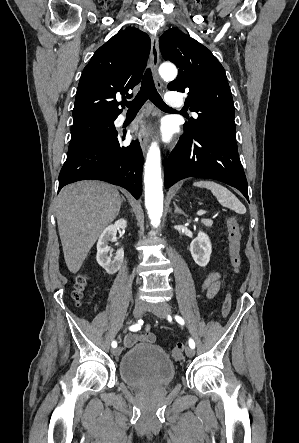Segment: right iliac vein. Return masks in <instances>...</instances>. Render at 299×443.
Segmentation results:
<instances>
[{
    "label": "right iliac vein",
    "mask_w": 299,
    "mask_h": 443,
    "mask_svg": "<svg viewBox=\"0 0 299 443\" xmlns=\"http://www.w3.org/2000/svg\"><path fill=\"white\" fill-rule=\"evenodd\" d=\"M145 311V305L141 302H136L134 304V308H133V315L135 318H140L143 314V312ZM112 354L115 357H118L121 354V348L117 347L115 349L112 350Z\"/></svg>",
    "instance_id": "obj_1"
}]
</instances>
